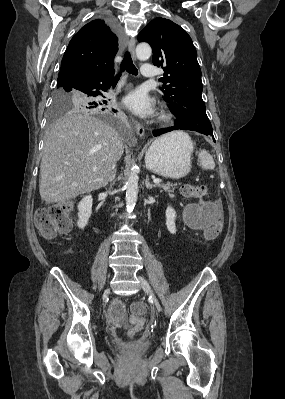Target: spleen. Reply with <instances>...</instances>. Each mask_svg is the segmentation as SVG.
I'll return each mask as SVG.
<instances>
[{
  "label": "spleen",
  "mask_w": 285,
  "mask_h": 399,
  "mask_svg": "<svg viewBox=\"0 0 285 399\" xmlns=\"http://www.w3.org/2000/svg\"><path fill=\"white\" fill-rule=\"evenodd\" d=\"M199 161L202 168L213 170L215 168V162L210 153L206 150H201L198 154Z\"/></svg>",
  "instance_id": "1"
}]
</instances>
